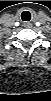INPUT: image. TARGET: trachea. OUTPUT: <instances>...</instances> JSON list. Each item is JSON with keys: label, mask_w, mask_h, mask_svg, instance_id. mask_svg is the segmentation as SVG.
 Segmentation results:
<instances>
[{"label": "trachea", "mask_w": 51, "mask_h": 101, "mask_svg": "<svg viewBox=\"0 0 51 101\" xmlns=\"http://www.w3.org/2000/svg\"><path fill=\"white\" fill-rule=\"evenodd\" d=\"M21 19L23 21H30L31 13L29 11H23L22 14H21Z\"/></svg>", "instance_id": "trachea-1"}]
</instances>
